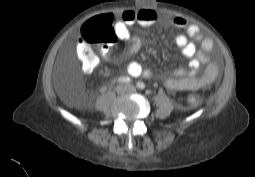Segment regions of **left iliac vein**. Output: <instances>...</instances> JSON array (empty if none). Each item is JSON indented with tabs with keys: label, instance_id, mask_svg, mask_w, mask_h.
<instances>
[{
	"label": "left iliac vein",
	"instance_id": "obj_1",
	"mask_svg": "<svg viewBox=\"0 0 255 177\" xmlns=\"http://www.w3.org/2000/svg\"><path fill=\"white\" fill-rule=\"evenodd\" d=\"M129 90H130V91H133V88H132V87H129Z\"/></svg>",
	"mask_w": 255,
	"mask_h": 177
}]
</instances>
